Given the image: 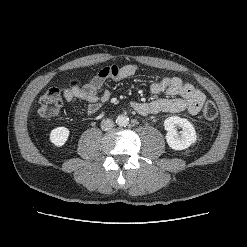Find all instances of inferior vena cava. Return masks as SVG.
<instances>
[{"label":"inferior vena cava","instance_id":"1","mask_svg":"<svg viewBox=\"0 0 247 247\" xmlns=\"http://www.w3.org/2000/svg\"><path fill=\"white\" fill-rule=\"evenodd\" d=\"M114 127V122L111 119H103L101 121V128L104 131L111 130Z\"/></svg>","mask_w":247,"mask_h":247}]
</instances>
